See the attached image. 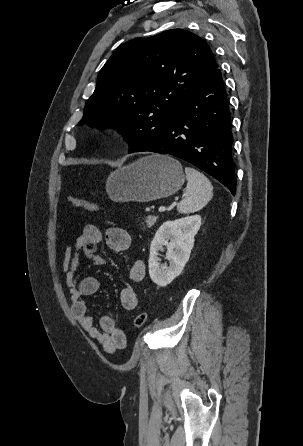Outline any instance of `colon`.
Masks as SVG:
<instances>
[{
  "label": "colon",
  "mask_w": 303,
  "mask_h": 446,
  "mask_svg": "<svg viewBox=\"0 0 303 446\" xmlns=\"http://www.w3.org/2000/svg\"><path fill=\"white\" fill-rule=\"evenodd\" d=\"M68 202L73 207L82 209L87 212L95 213V212L100 211V209L95 204L90 203L78 196H69ZM146 320H147V314L145 312H141V313L137 314L133 321L134 328H136V329L142 328L144 326V324L146 323Z\"/></svg>",
  "instance_id": "5ec220e1"
}]
</instances>
